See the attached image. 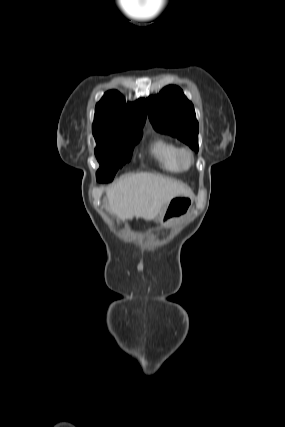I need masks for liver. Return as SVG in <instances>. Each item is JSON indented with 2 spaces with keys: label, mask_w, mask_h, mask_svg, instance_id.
Instances as JSON below:
<instances>
[{
  "label": "liver",
  "mask_w": 285,
  "mask_h": 427,
  "mask_svg": "<svg viewBox=\"0 0 285 427\" xmlns=\"http://www.w3.org/2000/svg\"><path fill=\"white\" fill-rule=\"evenodd\" d=\"M177 196L192 198L193 192L183 183L148 172L127 176L106 192L108 209L123 221L153 220Z\"/></svg>",
  "instance_id": "liver-1"
}]
</instances>
